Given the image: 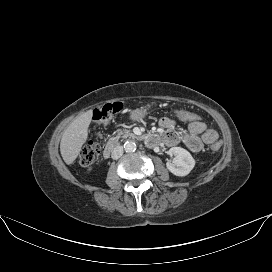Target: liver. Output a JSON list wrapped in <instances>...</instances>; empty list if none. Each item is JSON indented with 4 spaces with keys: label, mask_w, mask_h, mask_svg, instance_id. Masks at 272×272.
Wrapping results in <instances>:
<instances>
[{
    "label": "liver",
    "mask_w": 272,
    "mask_h": 272,
    "mask_svg": "<svg viewBox=\"0 0 272 272\" xmlns=\"http://www.w3.org/2000/svg\"><path fill=\"white\" fill-rule=\"evenodd\" d=\"M91 119L92 113L87 111L77 117L64 131L60 142V152L66 164H72L78 157L82 145L87 140Z\"/></svg>",
    "instance_id": "6515ba94"
}]
</instances>
